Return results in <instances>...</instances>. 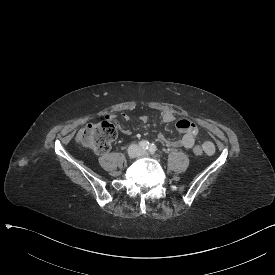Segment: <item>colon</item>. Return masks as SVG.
Instances as JSON below:
<instances>
[{
  "mask_svg": "<svg viewBox=\"0 0 275 275\" xmlns=\"http://www.w3.org/2000/svg\"><path fill=\"white\" fill-rule=\"evenodd\" d=\"M118 131L115 122L86 123L78 132L76 140L82 148L90 149L95 153L105 154L117 137ZM205 150L206 148L202 145L194 147V152L198 155H202Z\"/></svg>",
  "mask_w": 275,
  "mask_h": 275,
  "instance_id": "1",
  "label": "colon"
}]
</instances>
